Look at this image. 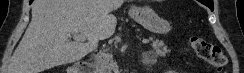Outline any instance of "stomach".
I'll list each match as a JSON object with an SVG mask.
<instances>
[{"instance_id":"0dacf381","label":"stomach","mask_w":244,"mask_h":73,"mask_svg":"<svg viewBox=\"0 0 244 73\" xmlns=\"http://www.w3.org/2000/svg\"><path fill=\"white\" fill-rule=\"evenodd\" d=\"M129 15L152 33L164 35L171 30L169 21L159 16L151 7H134L129 11Z\"/></svg>"}]
</instances>
